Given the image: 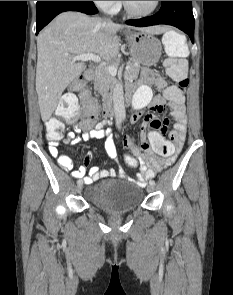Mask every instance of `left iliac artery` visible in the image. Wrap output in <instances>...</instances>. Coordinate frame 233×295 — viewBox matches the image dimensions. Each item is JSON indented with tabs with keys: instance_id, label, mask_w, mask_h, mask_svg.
<instances>
[{
	"instance_id": "obj_1",
	"label": "left iliac artery",
	"mask_w": 233,
	"mask_h": 295,
	"mask_svg": "<svg viewBox=\"0 0 233 295\" xmlns=\"http://www.w3.org/2000/svg\"><path fill=\"white\" fill-rule=\"evenodd\" d=\"M149 184L154 186L155 185V181L154 180H150L149 181Z\"/></svg>"
}]
</instances>
